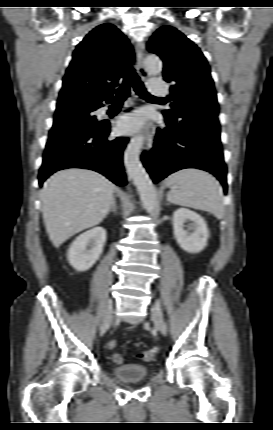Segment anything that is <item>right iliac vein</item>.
<instances>
[{"label":"right iliac vein","instance_id":"right-iliac-vein-1","mask_svg":"<svg viewBox=\"0 0 273 430\" xmlns=\"http://www.w3.org/2000/svg\"><path fill=\"white\" fill-rule=\"evenodd\" d=\"M112 320H113L112 312H106L104 314V316L102 318V322L100 324V331L105 332L109 328Z\"/></svg>","mask_w":273,"mask_h":430}]
</instances>
